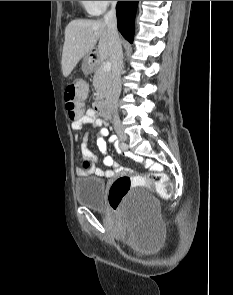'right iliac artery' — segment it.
<instances>
[{"label": "right iliac artery", "mask_w": 233, "mask_h": 295, "mask_svg": "<svg viewBox=\"0 0 233 295\" xmlns=\"http://www.w3.org/2000/svg\"><path fill=\"white\" fill-rule=\"evenodd\" d=\"M119 148H122V150L126 149V145L124 143L119 144Z\"/></svg>", "instance_id": "82829eb1"}]
</instances>
